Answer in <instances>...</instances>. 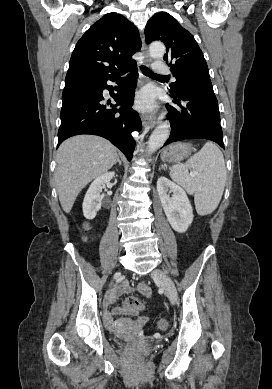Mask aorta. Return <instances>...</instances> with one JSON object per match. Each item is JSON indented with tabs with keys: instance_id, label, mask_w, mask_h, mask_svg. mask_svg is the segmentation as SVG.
I'll return each mask as SVG.
<instances>
[{
	"instance_id": "762f6f07",
	"label": "aorta",
	"mask_w": 272,
	"mask_h": 389,
	"mask_svg": "<svg viewBox=\"0 0 272 389\" xmlns=\"http://www.w3.org/2000/svg\"><path fill=\"white\" fill-rule=\"evenodd\" d=\"M165 54V46L161 42H153L149 47V55L153 59L162 58ZM170 135V125L168 122L159 124L152 132L148 140V153H153L166 142Z\"/></svg>"
}]
</instances>
